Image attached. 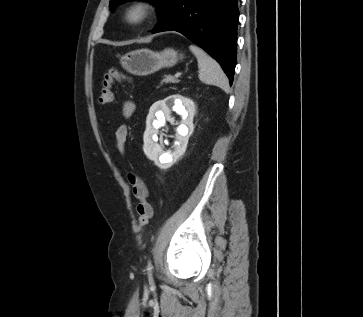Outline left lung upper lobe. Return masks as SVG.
Instances as JSON below:
<instances>
[{"label": "left lung upper lobe", "mask_w": 363, "mask_h": 317, "mask_svg": "<svg viewBox=\"0 0 363 317\" xmlns=\"http://www.w3.org/2000/svg\"><path fill=\"white\" fill-rule=\"evenodd\" d=\"M124 1H127V0H111L110 1V9L111 10H113L114 9V7L117 5V4H119V3H121V2H124ZM148 1H150V2H152V3H154V4H156L157 5V7H158V12H159V15H160V13L164 10V8L166 7V5L168 4V2L170 1V0H148Z\"/></svg>", "instance_id": "left-lung-upper-lobe-1"}]
</instances>
